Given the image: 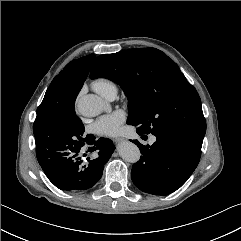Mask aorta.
<instances>
[{
    "label": "aorta",
    "instance_id": "762f6f07",
    "mask_svg": "<svg viewBox=\"0 0 241 241\" xmlns=\"http://www.w3.org/2000/svg\"><path fill=\"white\" fill-rule=\"evenodd\" d=\"M106 107V103L97 95L86 94L78 98V112L85 117L99 115ZM119 155L127 162L136 163L140 160V149L130 141H124L118 145Z\"/></svg>",
    "mask_w": 241,
    "mask_h": 241
}]
</instances>
